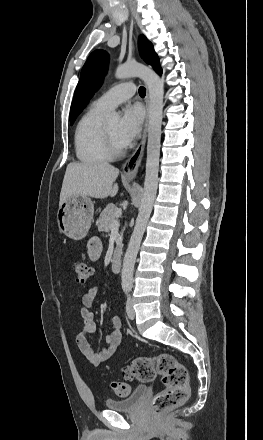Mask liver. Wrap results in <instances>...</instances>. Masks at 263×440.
I'll list each match as a JSON object with an SVG mask.
<instances>
[{"mask_svg":"<svg viewBox=\"0 0 263 440\" xmlns=\"http://www.w3.org/2000/svg\"><path fill=\"white\" fill-rule=\"evenodd\" d=\"M119 170L107 162L69 163L60 192V202L71 196L104 199L114 197L118 184H114Z\"/></svg>","mask_w":263,"mask_h":440,"instance_id":"obj_1","label":"liver"}]
</instances>
